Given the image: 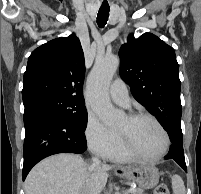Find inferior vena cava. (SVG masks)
<instances>
[{"label": "inferior vena cava", "mask_w": 201, "mask_h": 194, "mask_svg": "<svg viewBox=\"0 0 201 194\" xmlns=\"http://www.w3.org/2000/svg\"><path fill=\"white\" fill-rule=\"evenodd\" d=\"M92 162H93V165H99L101 163V161L96 157L92 158Z\"/></svg>", "instance_id": "602c4592"}]
</instances>
